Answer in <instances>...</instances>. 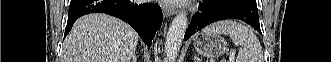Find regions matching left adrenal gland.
I'll return each instance as SVG.
<instances>
[{
    "label": "left adrenal gland",
    "mask_w": 331,
    "mask_h": 62,
    "mask_svg": "<svg viewBox=\"0 0 331 62\" xmlns=\"http://www.w3.org/2000/svg\"><path fill=\"white\" fill-rule=\"evenodd\" d=\"M196 60H197V61H196ZM194 61H195V62H199L197 57H195V60H194Z\"/></svg>",
    "instance_id": "left-adrenal-gland-1"
}]
</instances>
